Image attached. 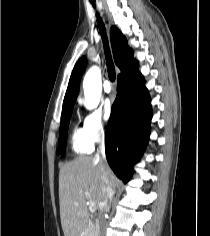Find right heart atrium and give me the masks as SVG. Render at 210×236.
Returning <instances> with one entry per match:
<instances>
[{
	"label": "right heart atrium",
	"mask_w": 210,
	"mask_h": 236,
	"mask_svg": "<svg viewBox=\"0 0 210 236\" xmlns=\"http://www.w3.org/2000/svg\"><path fill=\"white\" fill-rule=\"evenodd\" d=\"M83 129L92 143L100 141L105 135V124L99 111L88 112L83 120Z\"/></svg>",
	"instance_id": "d8ad5b80"
}]
</instances>
